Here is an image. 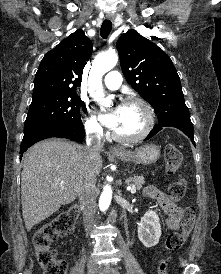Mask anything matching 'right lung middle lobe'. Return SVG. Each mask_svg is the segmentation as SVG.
Returning <instances> with one entry per match:
<instances>
[{"label": "right lung middle lobe", "mask_w": 221, "mask_h": 274, "mask_svg": "<svg viewBox=\"0 0 221 274\" xmlns=\"http://www.w3.org/2000/svg\"><path fill=\"white\" fill-rule=\"evenodd\" d=\"M80 105L81 99L76 93L32 99L24 131L46 124H64L83 128Z\"/></svg>", "instance_id": "dd1d6c3e"}]
</instances>
